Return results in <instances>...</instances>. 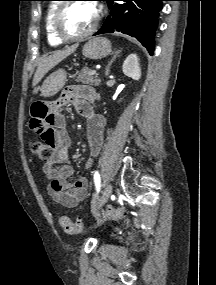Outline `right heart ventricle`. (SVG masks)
<instances>
[{
  "instance_id": "obj_1",
  "label": "right heart ventricle",
  "mask_w": 216,
  "mask_h": 285,
  "mask_svg": "<svg viewBox=\"0 0 216 285\" xmlns=\"http://www.w3.org/2000/svg\"><path fill=\"white\" fill-rule=\"evenodd\" d=\"M58 6L59 4L56 2L51 3L45 16V32L47 41L51 46H59L63 44V41L58 39L53 31V17Z\"/></svg>"
}]
</instances>
